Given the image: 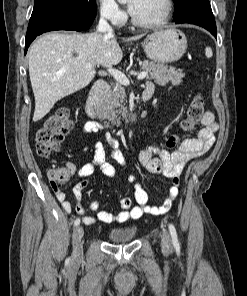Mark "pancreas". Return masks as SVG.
Instances as JSON below:
<instances>
[{
    "instance_id": "cf45deb5",
    "label": "pancreas",
    "mask_w": 247,
    "mask_h": 296,
    "mask_svg": "<svg viewBox=\"0 0 247 296\" xmlns=\"http://www.w3.org/2000/svg\"><path fill=\"white\" fill-rule=\"evenodd\" d=\"M142 69L147 72L148 78L155 80L159 84L172 83L179 85L185 76L182 69H175L168 65L144 60L139 62ZM127 95L122 84H116L100 101L101 113L103 118L108 119L112 124L119 125L121 117L126 118L127 109L124 106Z\"/></svg>"
}]
</instances>
